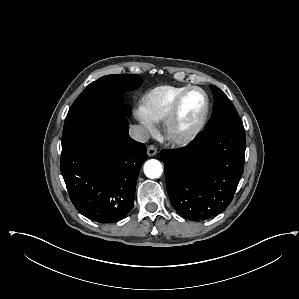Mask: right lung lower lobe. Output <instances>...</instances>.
Masks as SVG:
<instances>
[{
	"mask_svg": "<svg viewBox=\"0 0 299 299\" xmlns=\"http://www.w3.org/2000/svg\"><path fill=\"white\" fill-rule=\"evenodd\" d=\"M128 128L125 116H111L62 149L61 173L70 199L93 221L113 223L132 208L147 152Z\"/></svg>",
	"mask_w": 299,
	"mask_h": 299,
	"instance_id": "1",
	"label": "right lung lower lobe"
}]
</instances>
